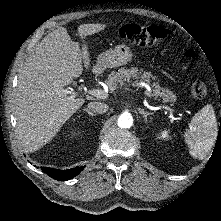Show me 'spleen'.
Masks as SVG:
<instances>
[{"label":"spleen","mask_w":221,"mask_h":221,"mask_svg":"<svg viewBox=\"0 0 221 221\" xmlns=\"http://www.w3.org/2000/svg\"><path fill=\"white\" fill-rule=\"evenodd\" d=\"M217 134L218 125L213 107L206 105L192 117L190 129L184 134L190 155L196 159H204L213 148Z\"/></svg>","instance_id":"3e777b00"}]
</instances>
